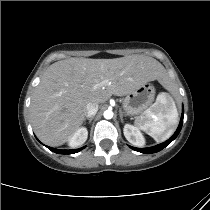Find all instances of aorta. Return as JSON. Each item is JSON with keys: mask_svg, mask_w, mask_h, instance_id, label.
I'll return each mask as SVG.
<instances>
[{"mask_svg": "<svg viewBox=\"0 0 210 210\" xmlns=\"http://www.w3.org/2000/svg\"><path fill=\"white\" fill-rule=\"evenodd\" d=\"M104 118L111 119L113 117V112L111 110L104 111Z\"/></svg>", "mask_w": 210, "mask_h": 210, "instance_id": "obj_1", "label": "aorta"}]
</instances>
